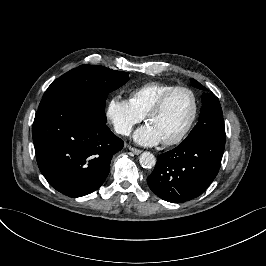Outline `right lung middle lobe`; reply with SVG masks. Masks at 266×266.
Returning <instances> with one entry per match:
<instances>
[{
    "label": "right lung middle lobe",
    "mask_w": 266,
    "mask_h": 266,
    "mask_svg": "<svg viewBox=\"0 0 266 266\" xmlns=\"http://www.w3.org/2000/svg\"><path fill=\"white\" fill-rule=\"evenodd\" d=\"M129 80L127 72L81 65L56 79L46 90L38 110L57 100L70 99L91 106L106 122L105 102L110 92Z\"/></svg>",
    "instance_id": "right-lung-middle-lobe-1"
}]
</instances>
